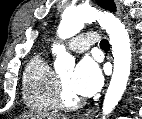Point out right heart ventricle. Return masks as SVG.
<instances>
[{"label":"right heart ventricle","mask_w":142,"mask_h":119,"mask_svg":"<svg viewBox=\"0 0 142 119\" xmlns=\"http://www.w3.org/2000/svg\"><path fill=\"white\" fill-rule=\"evenodd\" d=\"M57 76L46 56L35 55L23 73V99L28 106L38 110H54L56 104Z\"/></svg>","instance_id":"right-heart-ventricle-1"}]
</instances>
